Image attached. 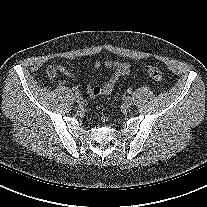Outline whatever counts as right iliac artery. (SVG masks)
Returning a JSON list of instances; mask_svg holds the SVG:
<instances>
[{
	"label": "right iliac artery",
	"instance_id": "82829eb1",
	"mask_svg": "<svg viewBox=\"0 0 207 207\" xmlns=\"http://www.w3.org/2000/svg\"><path fill=\"white\" fill-rule=\"evenodd\" d=\"M73 91L75 92V94H77L79 92L78 87H73Z\"/></svg>",
	"mask_w": 207,
	"mask_h": 207
}]
</instances>
